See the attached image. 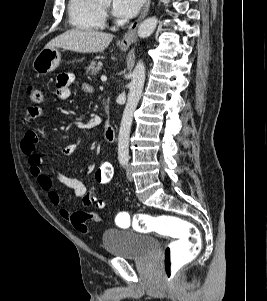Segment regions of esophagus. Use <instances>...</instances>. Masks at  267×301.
<instances>
[{"instance_id": "esophagus-1", "label": "esophagus", "mask_w": 267, "mask_h": 301, "mask_svg": "<svg viewBox=\"0 0 267 301\" xmlns=\"http://www.w3.org/2000/svg\"><path fill=\"white\" fill-rule=\"evenodd\" d=\"M150 3H151V0L146 1L140 16L137 18L136 21H134L130 25L128 31L125 33L122 40L120 41V46L129 47L137 41V28H138L139 24L141 23V21L148 14Z\"/></svg>"}]
</instances>
